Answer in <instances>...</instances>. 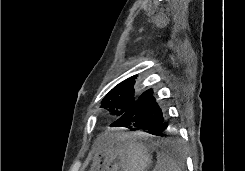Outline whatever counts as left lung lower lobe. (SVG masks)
Here are the masks:
<instances>
[{"label":"left lung lower lobe","mask_w":245,"mask_h":171,"mask_svg":"<svg viewBox=\"0 0 245 171\" xmlns=\"http://www.w3.org/2000/svg\"><path fill=\"white\" fill-rule=\"evenodd\" d=\"M111 127H128L131 130H148L149 134L163 137L168 127L167 113L156 102L153 90L145 91Z\"/></svg>","instance_id":"obj_1"}]
</instances>
